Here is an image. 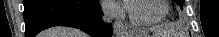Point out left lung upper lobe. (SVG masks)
<instances>
[{
    "mask_svg": "<svg viewBox=\"0 0 219 37\" xmlns=\"http://www.w3.org/2000/svg\"><path fill=\"white\" fill-rule=\"evenodd\" d=\"M177 2V4L182 7L183 6V2L184 0H175Z\"/></svg>",
    "mask_w": 219,
    "mask_h": 37,
    "instance_id": "1",
    "label": "left lung upper lobe"
}]
</instances>
